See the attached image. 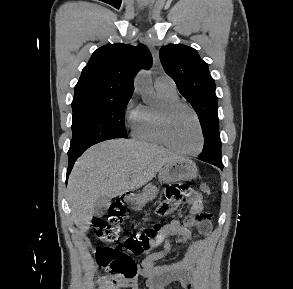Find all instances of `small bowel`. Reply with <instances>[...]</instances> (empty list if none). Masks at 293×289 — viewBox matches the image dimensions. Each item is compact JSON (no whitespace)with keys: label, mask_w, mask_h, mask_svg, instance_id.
Listing matches in <instances>:
<instances>
[{"label":"small bowel","mask_w":293,"mask_h":289,"mask_svg":"<svg viewBox=\"0 0 293 289\" xmlns=\"http://www.w3.org/2000/svg\"><path fill=\"white\" fill-rule=\"evenodd\" d=\"M188 201L191 209L185 224H181L178 219L166 224L155 244V246L163 244V249L148 252L141 262L139 275L145 279L146 289H165L174 282L180 283L184 289H193L197 264L206 248L205 241L194 235V228L198 226L200 234L206 237L211 232V221L210 215L202 212L204 201L201 194L190 193ZM173 243L186 245L184 258L173 264L157 265V261L164 259L170 253ZM121 286L139 289L135 279L130 282L124 281Z\"/></svg>","instance_id":"small-bowel-1"}]
</instances>
